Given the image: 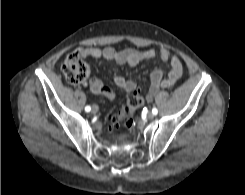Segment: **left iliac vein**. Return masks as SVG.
I'll return each instance as SVG.
<instances>
[{"label":"left iliac vein","mask_w":245,"mask_h":195,"mask_svg":"<svg viewBox=\"0 0 245 195\" xmlns=\"http://www.w3.org/2000/svg\"><path fill=\"white\" fill-rule=\"evenodd\" d=\"M147 117H148V119H153L154 118V114L150 112V113H148Z\"/></svg>","instance_id":"left-iliac-vein-1"}]
</instances>
